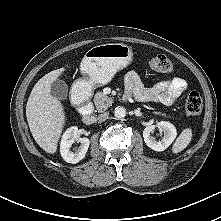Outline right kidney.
Listing matches in <instances>:
<instances>
[{
  "label": "right kidney",
  "mask_w": 221,
  "mask_h": 221,
  "mask_svg": "<svg viewBox=\"0 0 221 221\" xmlns=\"http://www.w3.org/2000/svg\"><path fill=\"white\" fill-rule=\"evenodd\" d=\"M76 141L80 143V146L75 151H72L70 148ZM89 145L90 141L88 138H79L76 126L70 127L62 135L60 144L61 156L66 162L76 164L85 157Z\"/></svg>",
  "instance_id": "right-kidney-1"
}]
</instances>
